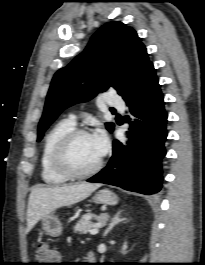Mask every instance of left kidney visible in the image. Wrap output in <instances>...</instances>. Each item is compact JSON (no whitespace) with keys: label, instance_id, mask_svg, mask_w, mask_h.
I'll return each instance as SVG.
<instances>
[{"label":"left kidney","instance_id":"1","mask_svg":"<svg viewBox=\"0 0 205 265\" xmlns=\"http://www.w3.org/2000/svg\"><path fill=\"white\" fill-rule=\"evenodd\" d=\"M123 252H125L126 251V249H127V244L125 243L124 245H123Z\"/></svg>","mask_w":205,"mask_h":265}]
</instances>
